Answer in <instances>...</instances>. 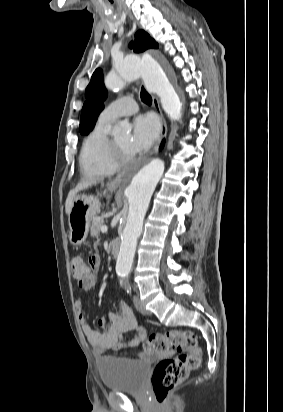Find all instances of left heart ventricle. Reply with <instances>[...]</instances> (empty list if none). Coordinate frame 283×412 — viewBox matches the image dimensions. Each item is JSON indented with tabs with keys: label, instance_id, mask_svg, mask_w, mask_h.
Masks as SVG:
<instances>
[{
	"label": "left heart ventricle",
	"instance_id": "1",
	"mask_svg": "<svg viewBox=\"0 0 283 412\" xmlns=\"http://www.w3.org/2000/svg\"><path fill=\"white\" fill-rule=\"evenodd\" d=\"M118 145L120 146L121 150L123 151L124 154L130 155L134 154L131 149H130V139L131 136L130 134H120L114 138Z\"/></svg>",
	"mask_w": 283,
	"mask_h": 412
}]
</instances>
